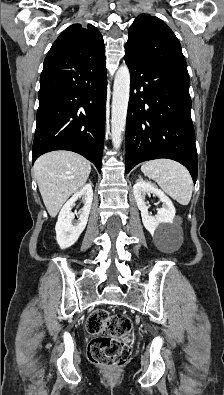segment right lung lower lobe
I'll return each instance as SVG.
<instances>
[{
    "label": "right lung lower lobe",
    "instance_id": "1",
    "mask_svg": "<svg viewBox=\"0 0 224 395\" xmlns=\"http://www.w3.org/2000/svg\"><path fill=\"white\" fill-rule=\"evenodd\" d=\"M106 89L105 57L88 60L64 48L49 51L40 78L32 163L46 152L69 150L101 172Z\"/></svg>",
    "mask_w": 224,
    "mask_h": 395
}]
</instances>
